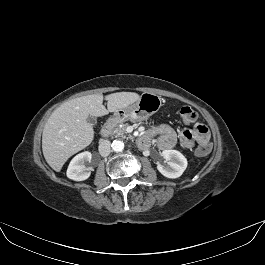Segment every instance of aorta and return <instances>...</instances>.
<instances>
[{"label": "aorta", "mask_w": 265, "mask_h": 265, "mask_svg": "<svg viewBox=\"0 0 265 265\" xmlns=\"http://www.w3.org/2000/svg\"><path fill=\"white\" fill-rule=\"evenodd\" d=\"M111 147L115 152H121L124 149V143L120 140H114Z\"/></svg>", "instance_id": "762f6f07"}]
</instances>
